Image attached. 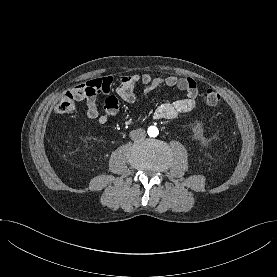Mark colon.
Wrapping results in <instances>:
<instances>
[{
	"mask_svg": "<svg viewBox=\"0 0 277 277\" xmlns=\"http://www.w3.org/2000/svg\"><path fill=\"white\" fill-rule=\"evenodd\" d=\"M84 93L85 89L82 85L68 91L58 102L56 106V112L59 114L73 113L75 111V102L79 100ZM219 100V94L213 89H208L205 92V101L208 105L215 106L219 103Z\"/></svg>",
	"mask_w": 277,
	"mask_h": 277,
	"instance_id": "1",
	"label": "colon"
}]
</instances>
